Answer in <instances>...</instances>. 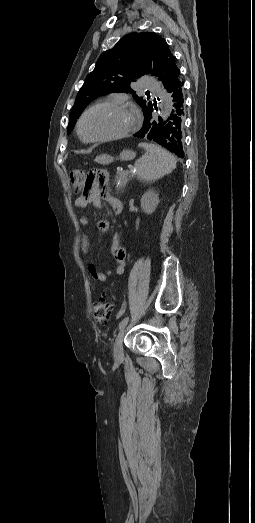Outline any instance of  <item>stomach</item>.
<instances>
[{
    "instance_id": "obj_1",
    "label": "stomach",
    "mask_w": 255,
    "mask_h": 523,
    "mask_svg": "<svg viewBox=\"0 0 255 523\" xmlns=\"http://www.w3.org/2000/svg\"><path fill=\"white\" fill-rule=\"evenodd\" d=\"M133 158V152H130V150H124L121 154V160H131ZM115 159V154L110 151H102L99 154V158L95 160V163L97 165H100L102 162H110Z\"/></svg>"
}]
</instances>
